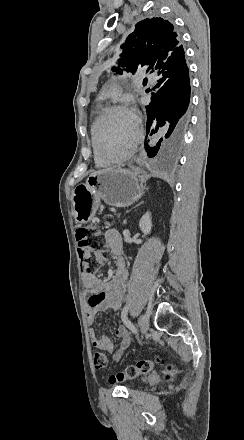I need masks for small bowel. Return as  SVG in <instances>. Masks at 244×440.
Returning a JSON list of instances; mask_svg holds the SVG:
<instances>
[{"instance_id": "c3829d8e", "label": "small bowel", "mask_w": 244, "mask_h": 440, "mask_svg": "<svg viewBox=\"0 0 244 440\" xmlns=\"http://www.w3.org/2000/svg\"><path fill=\"white\" fill-rule=\"evenodd\" d=\"M105 240L111 252L117 255L115 273L109 280L100 279L94 274L85 273L83 275L84 287L90 292L86 311L90 323L94 321L97 313L119 310L127 288L128 271L125 260L120 255L122 251L121 236L117 230L109 229L105 232ZM115 333L120 338L118 346L105 334H98L92 327L89 329V339L94 348L112 354L114 359L119 361L131 347L132 339L125 326H119Z\"/></svg>"}]
</instances>
